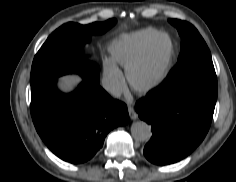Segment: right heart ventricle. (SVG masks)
I'll list each match as a JSON object with an SVG mask.
<instances>
[{"label": "right heart ventricle", "instance_id": "e07e8e85", "mask_svg": "<svg viewBox=\"0 0 236 182\" xmlns=\"http://www.w3.org/2000/svg\"><path fill=\"white\" fill-rule=\"evenodd\" d=\"M157 34L158 30L150 27L121 34L110 47L111 62L126 68Z\"/></svg>", "mask_w": 236, "mask_h": 182}]
</instances>
